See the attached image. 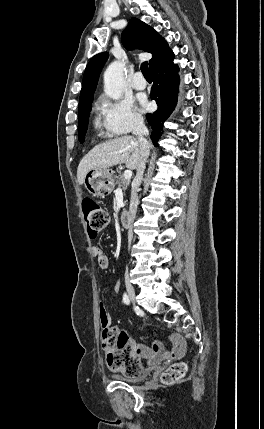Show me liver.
I'll return each mask as SVG.
<instances>
[{
	"mask_svg": "<svg viewBox=\"0 0 264 429\" xmlns=\"http://www.w3.org/2000/svg\"><path fill=\"white\" fill-rule=\"evenodd\" d=\"M141 159L139 141L133 136H122L95 146L80 161L77 169V180L84 183L88 171L108 169L125 163L129 169H137Z\"/></svg>",
	"mask_w": 264,
	"mask_h": 429,
	"instance_id": "liver-1",
	"label": "liver"
}]
</instances>
